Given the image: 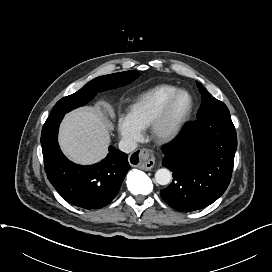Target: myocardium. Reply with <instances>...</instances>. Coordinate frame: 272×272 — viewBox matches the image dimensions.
I'll return each mask as SVG.
<instances>
[{
  "label": "myocardium",
  "mask_w": 272,
  "mask_h": 272,
  "mask_svg": "<svg viewBox=\"0 0 272 272\" xmlns=\"http://www.w3.org/2000/svg\"><path fill=\"white\" fill-rule=\"evenodd\" d=\"M181 94H186L190 98V105L187 111L176 121L170 122L175 101ZM195 100L193 95L186 89L176 90L166 101L161 111L151 124L153 137L161 143H168L175 140L183 131L194 111Z\"/></svg>",
  "instance_id": "myocardium-1"
}]
</instances>
